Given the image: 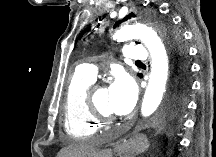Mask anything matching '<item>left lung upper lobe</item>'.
Instances as JSON below:
<instances>
[{
    "mask_svg": "<svg viewBox=\"0 0 216 157\" xmlns=\"http://www.w3.org/2000/svg\"><path fill=\"white\" fill-rule=\"evenodd\" d=\"M135 16L134 13H130L123 19L117 21L114 28ZM147 17L162 34L166 42L172 71L171 80L174 74L179 78L181 83L185 82L189 72V63L187 60V49L183 43L181 34L172 27L169 21L160 18L156 13L151 12Z\"/></svg>",
    "mask_w": 216,
    "mask_h": 157,
    "instance_id": "left-lung-upper-lobe-1",
    "label": "left lung upper lobe"
}]
</instances>
